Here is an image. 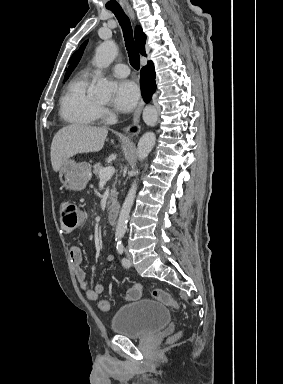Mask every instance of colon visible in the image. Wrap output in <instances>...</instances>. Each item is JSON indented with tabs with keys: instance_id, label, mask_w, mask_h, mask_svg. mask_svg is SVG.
Returning <instances> with one entry per match:
<instances>
[{
	"instance_id": "5ec220e1",
	"label": "colon",
	"mask_w": 283,
	"mask_h": 384,
	"mask_svg": "<svg viewBox=\"0 0 283 384\" xmlns=\"http://www.w3.org/2000/svg\"><path fill=\"white\" fill-rule=\"evenodd\" d=\"M59 215L61 229L66 234L74 232L84 222L83 214L78 209L76 204L70 199H64L61 201L59 205ZM141 292V287L136 285L126 292L125 298L127 300L139 299ZM152 296L166 306L175 309H177L179 306L178 302L173 298V296L163 289H154L152 291ZM98 308L102 312H108L110 310V303L104 299L99 300Z\"/></svg>"
}]
</instances>
